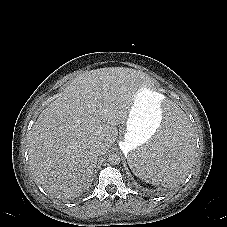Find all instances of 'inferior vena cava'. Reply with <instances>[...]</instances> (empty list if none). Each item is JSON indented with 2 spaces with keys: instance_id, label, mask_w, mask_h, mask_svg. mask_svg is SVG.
<instances>
[{
  "instance_id": "obj_1",
  "label": "inferior vena cava",
  "mask_w": 227,
  "mask_h": 227,
  "mask_svg": "<svg viewBox=\"0 0 227 227\" xmlns=\"http://www.w3.org/2000/svg\"><path fill=\"white\" fill-rule=\"evenodd\" d=\"M106 150V145L101 143L99 145H97L96 149H95V153L97 156L102 155Z\"/></svg>"
}]
</instances>
